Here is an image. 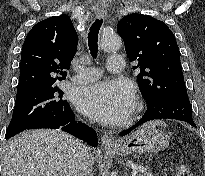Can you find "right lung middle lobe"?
I'll return each instance as SVG.
<instances>
[{"instance_id": "1", "label": "right lung middle lobe", "mask_w": 205, "mask_h": 176, "mask_svg": "<svg viewBox=\"0 0 205 176\" xmlns=\"http://www.w3.org/2000/svg\"><path fill=\"white\" fill-rule=\"evenodd\" d=\"M62 96L63 91L58 86L33 89L17 95L5 138L9 139L33 124L67 110L70 106Z\"/></svg>"}]
</instances>
